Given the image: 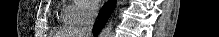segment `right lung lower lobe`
Returning a JSON list of instances; mask_svg holds the SVG:
<instances>
[{
  "instance_id": "1",
  "label": "right lung lower lobe",
  "mask_w": 219,
  "mask_h": 37,
  "mask_svg": "<svg viewBox=\"0 0 219 37\" xmlns=\"http://www.w3.org/2000/svg\"><path fill=\"white\" fill-rule=\"evenodd\" d=\"M113 8H114V3L107 4L102 8L100 13H104V14L100 15L99 20L95 23V25L93 27L94 36H97L98 33L100 32V30L102 29V27L105 25V23H106L108 17L110 16Z\"/></svg>"
}]
</instances>
